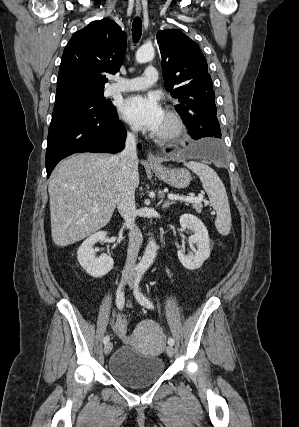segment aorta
I'll list each match as a JSON object with an SVG mask.
<instances>
[{
	"mask_svg": "<svg viewBox=\"0 0 299 427\" xmlns=\"http://www.w3.org/2000/svg\"><path fill=\"white\" fill-rule=\"evenodd\" d=\"M155 50L152 46L143 45L136 52V61L138 63H146L154 58ZM157 244L153 238H150L144 255L139 263V267L142 270H146L153 263L157 254Z\"/></svg>",
	"mask_w": 299,
	"mask_h": 427,
	"instance_id": "obj_1",
	"label": "aorta"
}]
</instances>
